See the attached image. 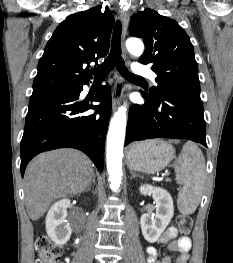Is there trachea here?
Masks as SVG:
<instances>
[{
	"instance_id": "obj_1",
	"label": "trachea",
	"mask_w": 233,
	"mask_h": 263,
	"mask_svg": "<svg viewBox=\"0 0 233 263\" xmlns=\"http://www.w3.org/2000/svg\"><path fill=\"white\" fill-rule=\"evenodd\" d=\"M116 66L119 73L130 81H145L142 77L131 73L125 66L121 57V22L117 21L112 36L111 51L105 61L97 68L92 69L91 73L95 79L105 78L108 73Z\"/></svg>"
}]
</instances>
